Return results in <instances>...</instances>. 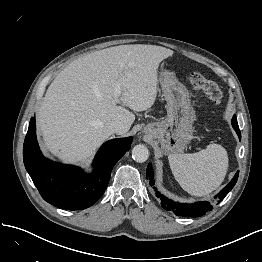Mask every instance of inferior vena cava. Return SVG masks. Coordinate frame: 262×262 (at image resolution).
Segmentation results:
<instances>
[{
	"mask_svg": "<svg viewBox=\"0 0 262 262\" xmlns=\"http://www.w3.org/2000/svg\"><path fill=\"white\" fill-rule=\"evenodd\" d=\"M106 131L111 135V134H122L125 131V128L122 124L118 122H111L108 123L105 126Z\"/></svg>",
	"mask_w": 262,
	"mask_h": 262,
	"instance_id": "obj_1",
	"label": "inferior vena cava"
}]
</instances>
